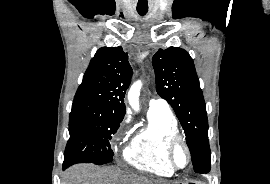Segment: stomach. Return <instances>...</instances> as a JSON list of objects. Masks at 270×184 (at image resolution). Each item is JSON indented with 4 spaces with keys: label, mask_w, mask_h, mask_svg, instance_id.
<instances>
[{
    "label": "stomach",
    "mask_w": 270,
    "mask_h": 184,
    "mask_svg": "<svg viewBox=\"0 0 270 184\" xmlns=\"http://www.w3.org/2000/svg\"><path fill=\"white\" fill-rule=\"evenodd\" d=\"M185 184H203V183L200 181H196V180H190V181L186 182Z\"/></svg>",
    "instance_id": "1"
}]
</instances>
